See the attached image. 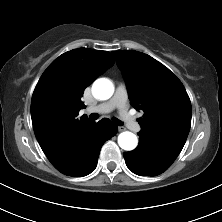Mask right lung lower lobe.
Segmentation results:
<instances>
[{"label": "right lung lower lobe", "mask_w": 222, "mask_h": 222, "mask_svg": "<svg viewBox=\"0 0 222 222\" xmlns=\"http://www.w3.org/2000/svg\"><path fill=\"white\" fill-rule=\"evenodd\" d=\"M116 132L117 127L108 119H102L98 123L91 122L72 160L56 168L68 176L82 177L90 174L96 168L102 145Z\"/></svg>", "instance_id": "1"}]
</instances>
